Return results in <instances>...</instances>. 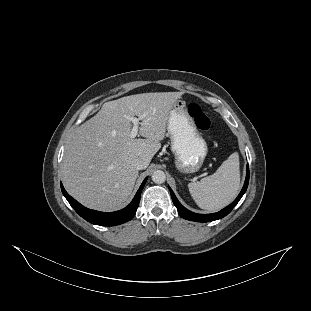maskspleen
Segmentation results:
<instances>
[{"label":"spleen","mask_w":311,"mask_h":311,"mask_svg":"<svg viewBox=\"0 0 311 311\" xmlns=\"http://www.w3.org/2000/svg\"><path fill=\"white\" fill-rule=\"evenodd\" d=\"M196 204L204 210L218 211L232 202L240 190L239 155L232 153L217 171L199 182L188 184Z\"/></svg>","instance_id":"spleen-1"}]
</instances>
